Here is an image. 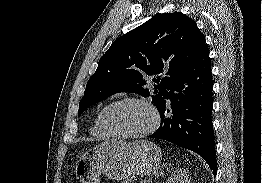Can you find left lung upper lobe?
<instances>
[{
    "mask_svg": "<svg viewBox=\"0 0 262 183\" xmlns=\"http://www.w3.org/2000/svg\"><path fill=\"white\" fill-rule=\"evenodd\" d=\"M207 47L196 23L182 13L156 16L114 41L100 58L89 79L79 113L118 92L152 97L159 109L168 97L175 77ZM166 73L153 79V94L145 88L148 75Z\"/></svg>",
    "mask_w": 262,
    "mask_h": 183,
    "instance_id": "1",
    "label": "left lung upper lobe"
}]
</instances>
